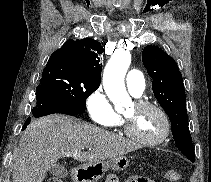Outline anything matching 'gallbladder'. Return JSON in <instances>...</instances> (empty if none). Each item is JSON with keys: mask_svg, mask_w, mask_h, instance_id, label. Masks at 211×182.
<instances>
[{"mask_svg": "<svg viewBox=\"0 0 211 182\" xmlns=\"http://www.w3.org/2000/svg\"><path fill=\"white\" fill-rule=\"evenodd\" d=\"M50 173L60 178H63L67 175L66 169L60 164H54L53 166H51Z\"/></svg>", "mask_w": 211, "mask_h": 182, "instance_id": "obj_1", "label": "gallbladder"}]
</instances>
